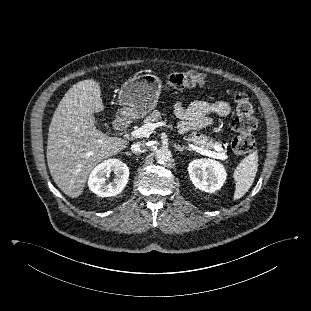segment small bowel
Masks as SVG:
<instances>
[{
    "mask_svg": "<svg viewBox=\"0 0 311 311\" xmlns=\"http://www.w3.org/2000/svg\"><path fill=\"white\" fill-rule=\"evenodd\" d=\"M230 110V105L225 101H194L187 107L179 102L174 107L175 115L180 119L179 128L182 132L206 127L212 122L210 114L227 116Z\"/></svg>",
    "mask_w": 311,
    "mask_h": 311,
    "instance_id": "small-bowel-1",
    "label": "small bowel"
}]
</instances>
